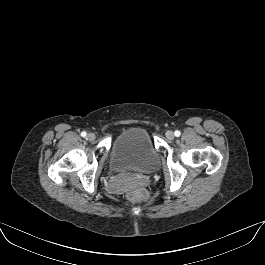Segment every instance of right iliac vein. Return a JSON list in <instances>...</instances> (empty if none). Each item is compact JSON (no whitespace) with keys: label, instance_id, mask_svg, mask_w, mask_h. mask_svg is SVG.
Masks as SVG:
<instances>
[{"label":"right iliac vein","instance_id":"63e3f726","mask_svg":"<svg viewBox=\"0 0 265 265\" xmlns=\"http://www.w3.org/2000/svg\"><path fill=\"white\" fill-rule=\"evenodd\" d=\"M95 138H96V136H95L94 133H89V134L87 135V139H88L89 141H94Z\"/></svg>","mask_w":265,"mask_h":265}]
</instances>
